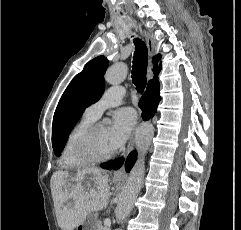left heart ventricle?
Instances as JSON below:
<instances>
[{
    "label": "left heart ventricle",
    "instance_id": "obj_1",
    "mask_svg": "<svg viewBox=\"0 0 241 230\" xmlns=\"http://www.w3.org/2000/svg\"><path fill=\"white\" fill-rule=\"evenodd\" d=\"M94 146L97 152L105 153L107 151L112 150L109 146L107 139V127L104 125H100L94 136Z\"/></svg>",
    "mask_w": 241,
    "mask_h": 230
}]
</instances>
